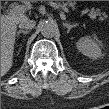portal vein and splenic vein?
Segmentation results:
<instances>
[{"label":"portal vein and splenic vein","instance_id":"obj_1","mask_svg":"<svg viewBox=\"0 0 109 109\" xmlns=\"http://www.w3.org/2000/svg\"><path fill=\"white\" fill-rule=\"evenodd\" d=\"M50 5H51L52 7H54V8H57V9L61 8L62 11L67 12V13H70V11L68 10V8H66V7H61L59 4H57V3H55V2H51ZM28 8H29L28 6L19 5V6H16V7L10 9V10L8 11V14H12V15H15V14H24V13L27 11ZM60 17H61L62 19H64V14H63V12H61Z\"/></svg>","mask_w":109,"mask_h":109}]
</instances>
